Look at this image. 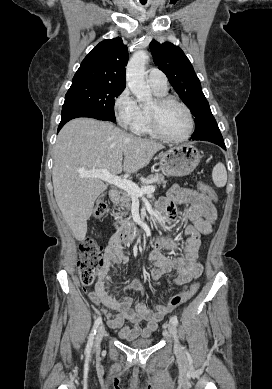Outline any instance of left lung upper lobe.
Listing matches in <instances>:
<instances>
[{
  "label": "left lung upper lobe",
  "instance_id": "1",
  "mask_svg": "<svg viewBox=\"0 0 272 389\" xmlns=\"http://www.w3.org/2000/svg\"><path fill=\"white\" fill-rule=\"evenodd\" d=\"M154 63L162 70L169 82L195 117L192 137L201 135L217 124L206 100L200 81L184 52L172 43H150Z\"/></svg>",
  "mask_w": 272,
  "mask_h": 389
}]
</instances>
